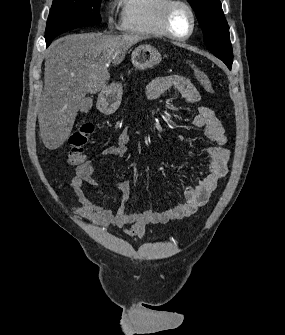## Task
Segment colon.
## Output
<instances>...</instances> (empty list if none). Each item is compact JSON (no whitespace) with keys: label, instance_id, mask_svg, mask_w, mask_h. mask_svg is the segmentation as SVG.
Wrapping results in <instances>:
<instances>
[{"label":"colon","instance_id":"colon-1","mask_svg":"<svg viewBox=\"0 0 285 335\" xmlns=\"http://www.w3.org/2000/svg\"><path fill=\"white\" fill-rule=\"evenodd\" d=\"M188 66L204 89L213 94L215 92L214 86L209 77L195 64L189 63ZM93 131L94 125L92 123H84L72 133L69 139L71 148L67 155L70 164L80 166L87 162L85 146L92 136Z\"/></svg>","mask_w":285,"mask_h":335}]
</instances>
